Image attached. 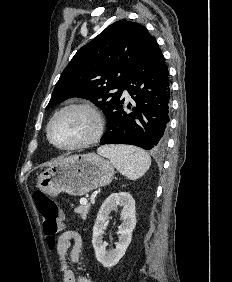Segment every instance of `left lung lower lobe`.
Masks as SVG:
<instances>
[{
  "label": "left lung lower lobe",
  "mask_w": 232,
  "mask_h": 282,
  "mask_svg": "<svg viewBox=\"0 0 232 282\" xmlns=\"http://www.w3.org/2000/svg\"><path fill=\"white\" fill-rule=\"evenodd\" d=\"M126 89L134 100L132 110L122 109L120 100L107 114L104 144H131L146 150H160L167 142L170 109L169 71L164 56L153 38L141 60L122 83L120 97Z\"/></svg>",
  "instance_id": "1"
}]
</instances>
